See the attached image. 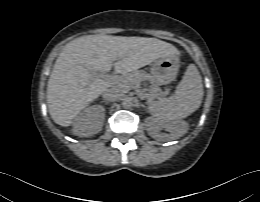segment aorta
Returning <instances> with one entry per match:
<instances>
[{"label":"aorta","mask_w":260,"mask_h":202,"mask_svg":"<svg viewBox=\"0 0 260 202\" xmlns=\"http://www.w3.org/2000/svg\"><path fill=\"white\" fill-rule=\"evenodd\" d=\"M122 105L126 109L132 107L133 105L132 99L130 97L124 98L122 101Z\"/></svg>","instance_id":"762f6f07"}]
</instances>
